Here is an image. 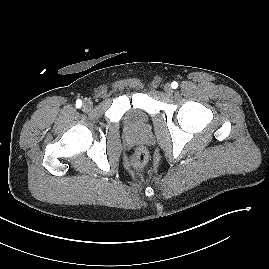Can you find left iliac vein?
Returning <instances> with one entry per match:
<instances>
[{
    "label": "left iliac vein",
    "mask_w": 269,
    "mask_h": 269,
    "mask_svg": "<svg viewBox=\"0 0 269 269\" xmlns=\"http://www.w3.org/2000/svg\"><path fill=\"white\" fill-rule=\"evenodd\" d=\"M164 91L166 94L171 95L173 93V89L169 83L165 84Z\"/></svg>",
    "instance_id": "left-iliac-vein-1"
}]
</instances>
